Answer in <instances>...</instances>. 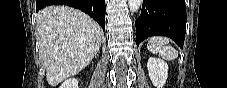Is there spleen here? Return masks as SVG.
<instances>
[{
	"instance_id": "3e777b00",
	"label": "spleen",
	"mask_w": 227,
	"mask_h": 88,
	"mask_svg": "<svg viewBox=\"0 0 227 88\" xmlns=\"http://www.w3.org/2000/svg\"><path fill=\"white\" fill-rule=\"evenodd\" d=\"M147 49L152 53H159L166 60H174L178 57V51L169 45V40L166 37H151L148 40Z\"/></svg>"
}]
</instances>
